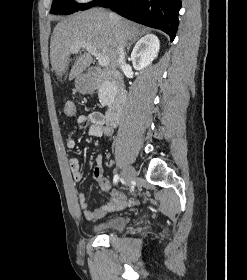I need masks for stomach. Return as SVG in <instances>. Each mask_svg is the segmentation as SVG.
Returning a JSON list of instances; mask_svg holds the SVG:
<instances>
[{
	"label": "stomach",
	"mask_w": 247,
	"mask_h": 280,
	"mask_svg": "<svg viewBox=\"0 0 247 280\" xmlns=\"http://www.w3.org/2000/svg\"><path fill=\"white\" fill-rule=\"evenodd\" d=\"M75 86H76L77 90L80 91L81 93H87L92 88L90 83L85 81V79L81 76L77 77V79L75 81Z\"/></svg>",
	"instance_id": "1"
}]
</instances>
